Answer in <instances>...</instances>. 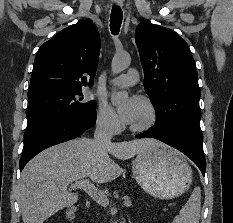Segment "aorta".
I'll return each mask as SVG.
<instances>
[{
    "label": "aorta",
    "mask_w": 233,
    "mask_h": 223,
    "mask_svg": "<svg viewBox=\"0 0 233 223\" xmlns=\"http://www.w3.org/2000/svg\"><path fill=\"white\" fill-rule=\"evenodd\" d=\"M131 64L130 56H122V58H113L111 64V72L112 74H120L123 70H126L128 66ZM128 92L124 90V92H115L113 90L111 94V104L112 106H118L121 102H126L128 100Z\"/></svg>",
    "instance_id": "aorta-1"
}]
</instances>
